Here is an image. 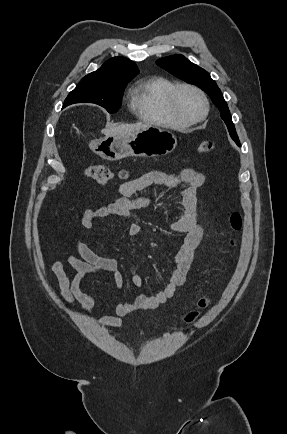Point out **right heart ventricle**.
<instances>
[{"instance_id":"right-heart-ventricle-1","label":"right heart ventricle","mask_w":287,"mask_h":434,"mask_svg":"<svg viewBox=\"0 0 287 434\" xmlns=\"http://www.w3.org/2000/svg\"><path fill=\"white\" fill-rule=\"evenodd\" d=\"M175 84L167 78L141 79L132 91L131 107L145 122L163 127H184L169 112L167 96Z\"/></svg>"}]
</instances>
